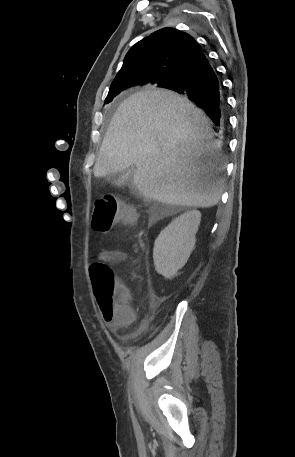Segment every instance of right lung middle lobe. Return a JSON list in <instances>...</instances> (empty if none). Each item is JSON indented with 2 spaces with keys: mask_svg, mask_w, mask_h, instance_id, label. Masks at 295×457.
<instances>
[{
  "mask_svg": "<svg viewBox=\"0 0 295 457\" xmlns=\"http://www.w3.org/2000/svg\"><path fill=\"white\" fill-rule=\"evenodd\" d=\"M138 84H121V85H116L115 87H110L108 96L106 97L105 104L109 103L112 101V99L117 96L123 89L136 86ZM144 85V84H141ZM159 87V86H158Z\"/></svg>",
  "mask_w": 295,
  "mask_h": 457,
  "instance_id": "obj_1",
  "label": "right lung middle lobe"
}]
</instances>
